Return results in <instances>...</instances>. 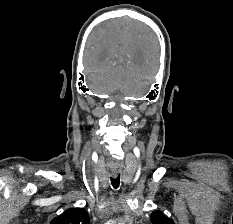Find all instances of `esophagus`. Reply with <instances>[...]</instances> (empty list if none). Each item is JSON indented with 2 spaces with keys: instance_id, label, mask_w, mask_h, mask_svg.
Returning a JSON list of instances; mask_svg holds the SVG:
<instances>
[{
  "instance_id": "obj_1",
  "label": "esophagus",
  "mask_w": 233,
  "mask_h": 224,
  "mask_svg": "<svg viewBox=\"0 0 233 224\" xmlns=\"http://www.w3.org/2000/svg\"><path fill=\"white\" fill-rule=\"evenodd\" d=\"M116 175H117V172H116V171H113V172H112V176L115 177Z\"/></svg>"
}]
</instances>
